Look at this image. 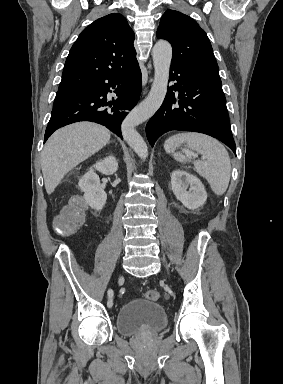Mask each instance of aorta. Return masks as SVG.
<instances>
[{
  "mask_svg": "<svg viewBox=\"0 0 283 384\" xmlns=\"http://www.w3.org/2000/svg\"><path fill=\"white\" fill-rule=\"evenodd\" d=\"M154 80L148 96L135 107L122 123V135L127 144L145 160L148 147L135 127L154 115L164 101L169 70L172 59V47L169 42L160 40L153 48Z\"/></svg>",
  "mask_w": 283,
  "mask_h": 384,
  "instance_id": "obj_1",
  "label": "aorta"
}]
</instances>
